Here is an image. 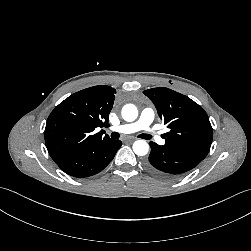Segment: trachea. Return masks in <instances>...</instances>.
Here are the masks:
<instances>
[{
	"mask_svg": "<svg viewBox=\"0 0 251 251\" xmlns=\"http://www.w3.org/2000/svg\"><path fill=\"white\" fill-rule=\"evenodd\" d=\"M111 137H112L113 139H118V138L120 137V135H119V133H117V132H113V133L111 134ZM139 137H140V138H143V139H146V140L151 139V136L148 135V134H140Z\"/></svg>",
	"mask_w": 251,
	"mask_h": 251,
	"instance_id": "trachea-1",
	"label": "trachea"
}]
</instances>
